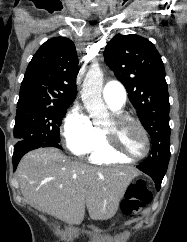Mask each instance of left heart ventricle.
<instances>
[{
	"label": "left heart ventricle",
	"instance_id": "b2bd125f",
	"mask_svg": "<svg viewBox=\"0 0 187 242\" xmlns=\"http://www.w3.org/2000/svg\"><path fill=\"white\" fill-rule=\"evenodd\" d=\"M104 129L113 130L111 119ZM120 146L131 155H140L145 151V139L140 130L133 124H125L118 130Z\"/></svg>",
	"mask_w": 187,
	"mask_h": 242
}]
</instances>
